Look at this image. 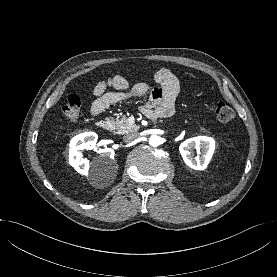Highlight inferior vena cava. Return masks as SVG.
I'll return each instance as SVG.
<instances>
[{
  "label": "inferior vena cava",
  "instance_id": "obj_1",
  "mask_svg": "<svg viewBox=\"0 0 277 277\" xmlns=\"http://www.w3.org/2000/svg\"><path fill=\"white\" fill-rule=\"evenodd\" d=\"M139 138V134L136 133V132H133V133H128V134H125L123 136V140L126 142V143H131L135 140H137Z\"/></svg>",
  "mask_w": 277,
  "mask_h": 277
}]
</instances>
